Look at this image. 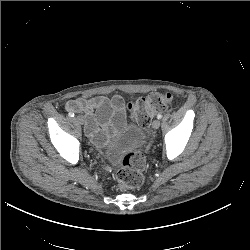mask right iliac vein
Segmentation results:
<instances>
[{"mask_svg": "<svg viewBox=\"0 0 250 250\" xmlns=\"http://www.w3.org/2000/svg\"><path fill=\"white\" fill-rule=\"evenodd\" d=\"M75 120L80 124H84V118L81 115L75 117Z\"/></svg>", "mask_w": 250, "mask_h": 250, "instance_id": "right-iliac-vein-1", "label": "right iliac vein"}]
</instances>
